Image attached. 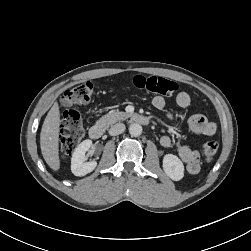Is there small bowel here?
Returning a JSON list of instances; mask_svg holds the SVG:
<instances>
[{"label":"small bowel","instance_id":"c3829d8e","mask_svg":"<svg viewBox=\"0 0 251 251\" xmlns=\"http://www.w3.org/2000/svg\"><path fill=\"white\" fill-rule=\"evenodd\" d=\"M190 101V96L186 92H180L176 97V104L181 108L188 107ZM152 105L156 109L162 110L166 105V101L161 96H155L152 99ZM188 127L193 133L199 136L208 137L212 136L216 132L215 124L201 114L191 116L188 121ZM160 144L164 148H169L172 145V139L167 135L162 136L160 139ZM178 155L182 162L185 164L188 173L194 175L199 172L200 161L198 153L196 151L191 149L189 146H181L178 149Z\"/></svg>","mask_w":251,"mask_h":251}]
</instances>
